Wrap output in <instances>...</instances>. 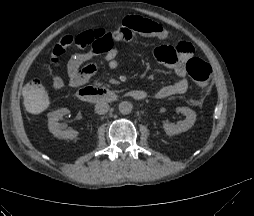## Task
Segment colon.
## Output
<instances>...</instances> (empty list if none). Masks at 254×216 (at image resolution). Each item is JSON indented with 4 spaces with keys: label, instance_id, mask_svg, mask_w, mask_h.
Returning <instances> with one entry per match:
<instances>
[{
    "label": "colon",
    "instance_id": "colon-1",
    "mask_svg": "<svg viewBox=\"0 0 254 216\" xmlns=\"http://www.w3.org/2000/svg\"><path fill=\"white\" fill-rule=\"evenodd\" d=\"M77 42L98 46L106 49L112 43V37L103 29L94 27L82 30L77 35ZM168 55L172 52L167 51ZM186 71L194 83L200 88H207L212 80L213 70L206 61L193 57L187 61ZM26 106L33 111H41L48 105V97L43 86L38 81H31L23 89Z\"/></svg>",
    "mask_w": 254,
    "mask_h": 216
}]
</instances>
